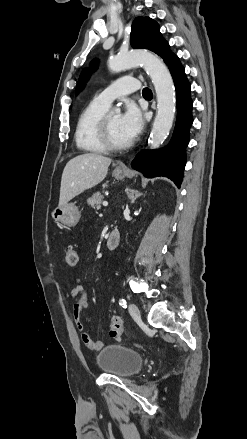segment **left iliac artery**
Returning a JSON list of instances; mask_svg holds the SVG:
<instances>
[{
    "instance_id": "44dca946",
    "label": "left iliac artery",
    "mask_w": 247,
    "mask_h": 439,
    "mask_svg": "<svg viewBox=\"0 0 247 439\" xmlns=\"http://www.w3.org/2000/svg\"><path fill=\"white\" fill-rule=\"evenodd\" d=\"M119 304H120V306H122L123 308H126V307H127V302H126V300H125L124 298H121V299L119 300Z\"/></svg>"
}]
</instances>
